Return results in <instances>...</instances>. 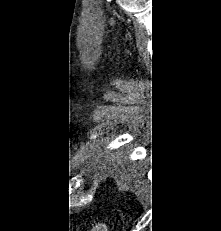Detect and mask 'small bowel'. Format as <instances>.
<instances>
[{
    "label": "small bowel",
    "instance_id": "small-bowel-1",
    "mask_svg": "<svg viewBox=\"0 0 221 231\" xmlns=\"http://www.w3.org/2000/svg\"><path fill=\"white\" fill-rule=\"evenodd\" d=\"M92 231H107L105 224H97Z\"/></svg>",
    "mask_w": 221,
    "mask_h": 231
}]
</instances>
